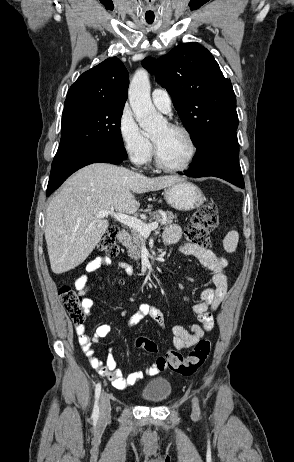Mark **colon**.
<instances>
[{"instance_id":"colon-1","label":"colon","mask_w":294,"mask_h":462,"mask_svg":"<svg viewBox=\"0 0 294 462\" xmlns=\"http://www.w3.org/2000/svg\"><path fill=\"white\" fill-rule=\"evenodd\" d=\"M218 224L216 206L212 203L201 206L191 218L185 229V235L194 246L208 250L210 247L209 233ZM116 227H110L98 244V249L109 256L118 253ZM59 297L75 325L83 324L85 312L83 298L72 287L64 285L59 289ZM136 345L147 352L157 351V345L148 338H139ZM211 351V342L208 339L199 340L194 348L187 354L182 355L176 351H170L165 357H159L156 362L161 369H170L178 374L189 376L194 374L205 363Z\"/></svg>"}]
</instances>
